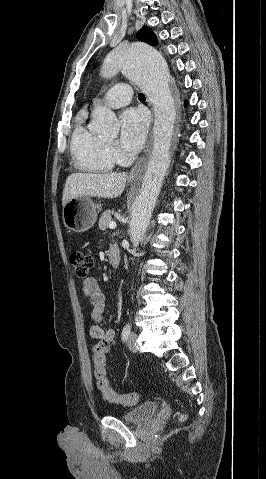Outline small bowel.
Wrapping results in <instances>:
<instances>
[{
  "label": "small bowel",
  "instance_id": "small-bowel-1",
  "mask_svg": "<svg viewBox=\"0 0 266 479\" xmlns=\"http://www.w3.org/2000/svg\"><path fill=\"white\" fill-rule=\"evenodd\" d=\"M84 296L90 302L92 310L90 319L93 325L90 327L92 338L100 341H106L108 344H115V332L112 329H104L99 323L103 320L105 310V297L97 281L92 277H87L82 282Z\"/></svg>",
  "mask_w": 266,
  "mask_h": 479
}]
</instances>
